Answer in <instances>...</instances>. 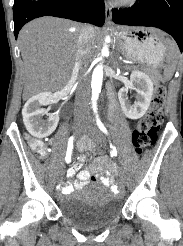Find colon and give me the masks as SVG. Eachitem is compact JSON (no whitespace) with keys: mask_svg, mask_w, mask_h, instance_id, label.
<instances>
[{"mask_svg":"<svg viewBox=\"0 0 183 246\" xmlns=\"http://www.w3.org/2000/svg\"><path fill=\"white\" fill-rule=\"evenodd\" d=\"M166 99V87L158 84L149 112L139 121L137 128L133 132V144L138 155L148 147L152 146L157 139V132L163 121V107ZM32 150L39 156L43 157L46 153L44 144L39 140H33L30 143ZM96 154L101 157L106 156L105 149H96ZM116 186V185H113Z\"/></svg>","mask_w":183,"mask_h":246,"instance_id":"5ec220e1","label":"colon"}]
</instances>
